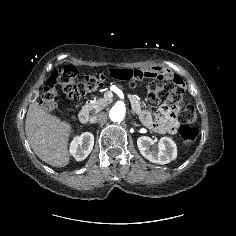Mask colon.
Instances as JSON below:
<instances>
[{
    "label": "colon",
    "mask_w": 236,
    "mask_h": 236,
    "mask_svg": "<svg viewBox=\"0 0 236 236\" xmlns=\"http://www.w3.org/2000/svg\"><path fill=\"white\" fill-rule=\"evenodd\" d=\"M107 78L106 73L86 74L79 76L72 66H64L55 70L45 83L41 95V105L46 111H54L58 106L57 88H60L65 96L71 100H79L90 92L100 88ZM149 97L161 102H169L178 108L183 99V88L172 81L159 84L151 81L147 86ZM179 119L184 123L179 129L180 137L184 145L189 146L198 137V130L194 127L197 122L196 108L192 104L183 107Z\"/></svg>",
    "instance_id": "obj_1"
}]
</instances>
